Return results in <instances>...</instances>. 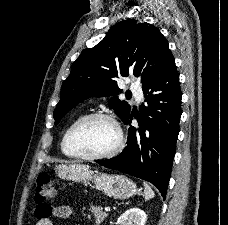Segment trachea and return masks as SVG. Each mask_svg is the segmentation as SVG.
I'll return each mask as SVG.
<instances>
[{
	"label": "trachea",
	"instance_id": "trachea-1",
	"mask_svg": "<svg viewBox=\"0 0 228 225\" xmlns=\"http://www.w3.org/2000/svg\"><path fill=\"white\" fill-rule=\"evenodd\" d=\"M127 98H131V94L130 95H127Z\"/></svg>",
	"mask_w": 228,
	"mask_h": 225
}]
</instances>
